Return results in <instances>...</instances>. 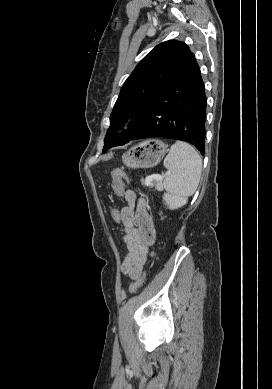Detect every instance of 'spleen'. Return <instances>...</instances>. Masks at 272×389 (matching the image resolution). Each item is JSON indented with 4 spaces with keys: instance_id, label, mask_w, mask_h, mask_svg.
<instances>
[{
    "instance_id": "obj_1",
    "label": "spleen",
    "mask_w": 272,
    "mask_h": 389,
    "mask_svg": "<svg viewBox=\"0 0 272 389\" xmlns=\"http://www.w3.org/2000/svg\"><path fill=\"white\" fill-rule=\"evenodd\" d=\"M164 166L170 174L163 182L166 190L163 199L170 209L180 208L197 189L202 169L201 157L191 145L177 141L164 159Z\"/></svg>"
}]
</instances>
